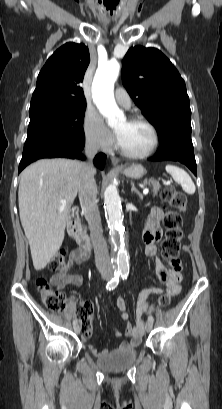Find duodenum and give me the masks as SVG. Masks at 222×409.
Here are the masks:
<instances>
[{"label": "duodenum", "mask_w": 222, "mask_h": 409, "mask_svg": "<svg viewBox=\"0 0 222 409\" xmlns=\"http://www.w3.org/2000/svg\"><path fill=\"white\" fill-rule=\"evenodd\" d=\"M67 231L71 239L85 253L90 252V238L84 232L78 217V207H72L67 221Z\"/></svg>", "instance_id": "obj_1"}]
</instances>
